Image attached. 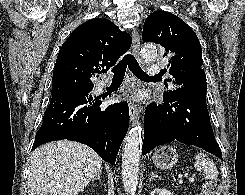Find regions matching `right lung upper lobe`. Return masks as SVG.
<instances>
[{
    "label": "right lung upper lobe",
    "instance_id": "1",
    "mask_svg": "<svg viewBox=\"0 0 245 195\" xmlns=\"http://www.w3.org/2000/svg\"><path fill=\"white\" fill-rule=\"evenodd\" d=\"M131 43L130 35L107 19L95 18L81 24L59 51L52 95L94 86L93 77L115 65Z\"/></svg>",
    "mask_w": 245,
    "mask_h": 195
}]
</instances>
